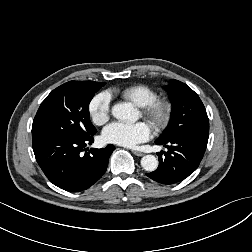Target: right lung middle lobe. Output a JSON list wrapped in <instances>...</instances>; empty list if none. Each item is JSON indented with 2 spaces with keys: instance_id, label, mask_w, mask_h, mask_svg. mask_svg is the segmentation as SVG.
I'll use <instances>...</instances> for the list:
<instances>
[{
  "instance_id": "1",
  "label": "right lung middle lobe",
  "mask_w": 252,
  "mask_h": 252,
  "mask_svg": "<svg viewBox=\"0 0 252 252\" xmlns=\"http://www.w3.org/2000/svg\"><path fill=\"white\" fill-rule=\"evenodd\" d=\"M105 83L89 85L69 81L54 89L41 103L33 120L32 138H84L95 134L89 103Z\"/></svg>"
}]
</instances>
